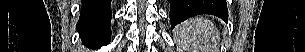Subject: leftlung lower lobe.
I'll return each instance as SVG.
<instances>
[{"label": "left lung lower lobe", "instance_id": "obj_1", "mask_svg": "<svg viewBox=\"0 0 305 52\" xmlns=\"http://www.w3.org/2000/svg\"><path fill=\"white\" fill-rule=\"evenodd\" d=\"M170 3V20L173 28L178 23L176 18L179 13L188 9L198 8L201 14H212L222 18L228 19V10L226 0H168Z\"/></svg>", "mask_w": 305, "mask_h": 52}]
</instances>
